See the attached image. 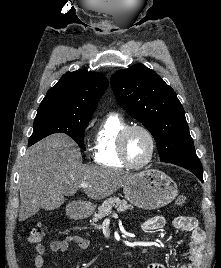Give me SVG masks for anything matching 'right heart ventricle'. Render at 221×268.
<instances>
[{
    "instance_id": "e07e8e85",
    "label": "right heart ventricle",
    "mask_w": 221,
    "mask_h": 268,
    "mask_svg": "<svg viewBox=\"0 0 221 268\" xmlns=\"http://www.w3.org/2000/svg\"><path fill=\"white\" fill-rule=\"evenodd\" d=\"M124 120L115 114L106 117L97 134L94 147V161L110 168L126 167L118 155V136L121 130L126 127Z\"/></svg>"
}]
</instances>
